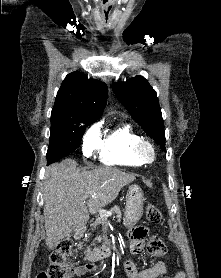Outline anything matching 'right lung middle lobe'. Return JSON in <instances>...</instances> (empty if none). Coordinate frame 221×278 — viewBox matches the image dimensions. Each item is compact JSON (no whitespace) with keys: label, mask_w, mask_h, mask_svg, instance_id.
<instances>
[{"label":"right lung middle lobe","mask_w":221,"mask_h":278,"mask_svg":"<svg viewBox=\"0 0 221 278\" xmlns=\"http://www.w3.org/2000/svg\"><path fill=\"white\" fill-rule=\"evenodd\" d=\"M90 124L86 119L72 120L51 116L50 144L46 155L48 164L76 150L86 126Z\"/></svg>","instance_id":"1"}]
</instances>
